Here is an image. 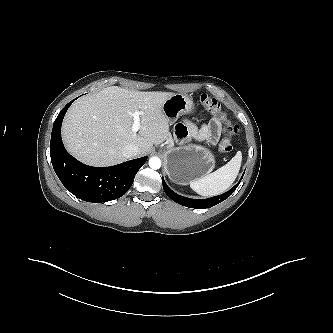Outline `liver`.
<instances>
[{"instance_id":"1","label":"liver","mask_w":333,"mask_h":333,"mask_svg":"<svg viewBox=\"0 0 333 333\" xmlns=\"http://www.w3.org/2000/svg\"><path fill=\"white\" fill-rule=\"evenodd\" d=\"M172 92H140L111 86L75 101L68 110L62 137L68 151L89 165L121 163L122 148L139 147V155L151 151L170 136L169 120L162 111ZM134 111H139V134L132 131Z\"/></svg>"}]
</instances>
